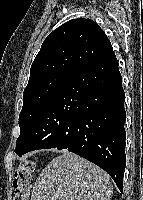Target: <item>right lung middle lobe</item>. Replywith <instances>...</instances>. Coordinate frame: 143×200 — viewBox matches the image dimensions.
<instances>
[{
  "label": "right lung middle lobe",
  "instance_id": "right-lung-middle-lobe-1",
  "mask_svg": "<svg viewBox=\"0 0 143 200\" xmlns=\"http://www.w3.org/2000/svg\"><path fill=\"white\" fill-rule=\"evenodd\" d=\"M69 76L50 74L28 83L23 92V107L19 115L20 136L17 139L16 153L38 113Z\"/></svg>",
  "mask_w": 143,
  "mask_h": 200
}]
</instances>
